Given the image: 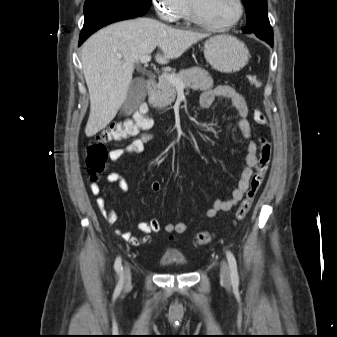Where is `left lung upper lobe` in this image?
Listing matches in <instances>:
<instances>
[{"label": "left lung upper lobe", "instance_id": "1", "mask_svg": "<svg viewBox=\"0 0 337 337\" xmlns=\"http://www.w3.org/2000/svg\"><path fill=\"white\" fill-rule=\"evenodd\" d=\"M247 12L245 33H255L258 37L273 39V30L269 23L266 0H242Z\"/></svg>", "mask_w": 337, "mask_h": 337}]
</instances>
